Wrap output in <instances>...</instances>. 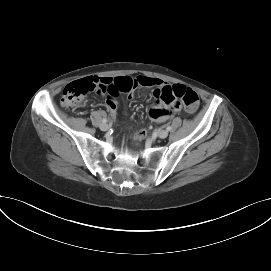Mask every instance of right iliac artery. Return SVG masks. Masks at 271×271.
I'll list each match as a JSON object with an SVG mask.
<instances>
[{
	"label": "right iliac artery",
	"instance_id": "obj_1",
	"mask_svg": "<svg viewBox=\"0 0 271 271\" xmlns=\"http://www.w3.org/2000/svg\"><path fill=\"white\" fill-rule=\"evenodd\" d=\"M102 122H103V123H106V122H107V119L104 118V119L102 120Z\"/></svg>",
	"mask_w": 271,
	"mask_h": 271
}]
</instances>
